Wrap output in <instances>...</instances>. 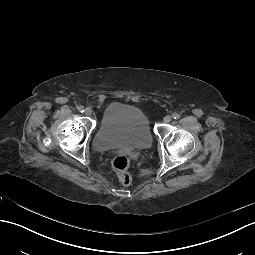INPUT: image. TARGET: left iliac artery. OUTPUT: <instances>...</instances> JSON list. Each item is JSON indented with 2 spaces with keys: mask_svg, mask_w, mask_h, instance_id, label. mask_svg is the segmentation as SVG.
<instances>
[{
  "mask_svg": "<svg viewBox=\"0 0 255 255\" xmlns=\"http://www.w3.org/2000/svg\"><path fill=\"white\" fill-rule=\"evenodd\" d=\"M172 117H173L174 119H179L181 116H180V114H178V113H173Z\"/></svg>",
  "mask_w": 255,
  "mask_h": 255,
  "instance_id": "obj_1",
  "label": "left iliac artery"
}]
</instances>
